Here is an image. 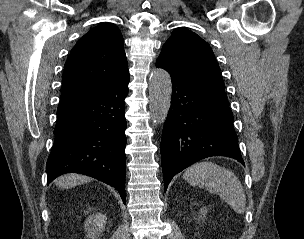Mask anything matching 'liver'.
<instances>
[{
	"mask_svg": "<svg viewBox=\"0 0 304 239\" xmlns=\"http://www.w3.org/2000/svg\"><path fill=\"white\" fill-rule=\"evenodd\" d=\"M91 178L79 174H68L61 176L55 181V184L60 188H72L77 185H81L90 182Z\"/></svg>",
	"mask_w": 304,
	"mask_h": 239,
	"instance_id": "1",
	"label": "liver"
}]
</instances>
